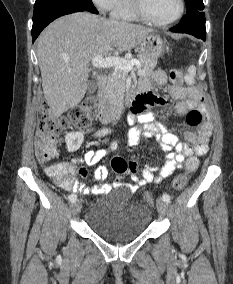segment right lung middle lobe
I'll list each match as a JSON object with an SVG mask.
<instances>
[{"instance_id": "dd1d6c3e", "label": "right lung middle lobe", "mask_w": 233, "mask_h": 284, "mask_svg": "<svg viewBox=\"0 0 233 284\" xmlns=\"http://www.w3.org/2000/svg\"><path fill=\"white\" fill-rule=\"evenodd\" d=\"M80 9L97 13L91 0H36L33 20L57 10Z\"/></svg>"}]
</instances>
